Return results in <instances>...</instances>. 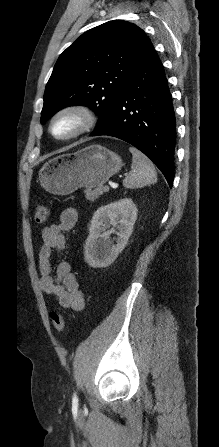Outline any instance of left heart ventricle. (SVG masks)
<instances>
[{
  "label": "left heart ventricle",
  "mask_w": 219,
  "mask_h": 447,
  "mask_svg": "<svg viewBox=\"0 0 219 447\" xmlns=\"http://www.w3.org/2000/svg\"><path fill=\"white\" fill-rule=\"evenodd\" d=\"M76 125L77 120L74 117H62L55 122L53 131L56 135H65L72 131Z\"/></svg>",
  "instance_id": "1"
}]
</instances>
